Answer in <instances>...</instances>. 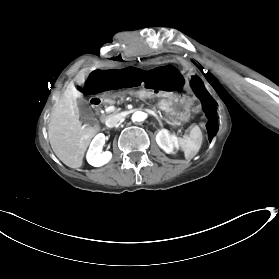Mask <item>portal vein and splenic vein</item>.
<instances>
[{"label": "portal vein and splenic vein", "instance_id": "obj_1", "mask_svg": "<svg viewBox=\"0 0 279 279\" xmlns=\"http://www.w3.org/2000/svg\"><path fill=\"white\" fill-rule=\"evenodd\" d=\"M113 110H114V107H113V106H109V107L105 108V112H106V113H110V112H112Z\"/></svg>", "mask_w": 279, "mask_h": 279}]
</instances>
